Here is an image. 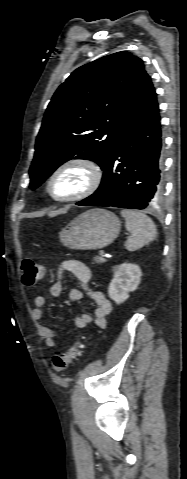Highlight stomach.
I'll list each match as a JSON object with an SVG mask.
<instances>
[{
    "instance_id": "1",
    "label": "stomach",
    "mask_w": 187,
    "mask_h": 479,
    "mask_svg": "<svg viewBox=\"0 0 187 479\" xmlns=\"http://www.w3.org/2000/svg\"><path fill=\"white\" fill-rule=\"evenodd\" d=\"M120 228L121 222L114 213L104 209H91L63 228L59 238L68 248L95 250L111 244L117 238Z\"/></svg>"
}]
</instances>
